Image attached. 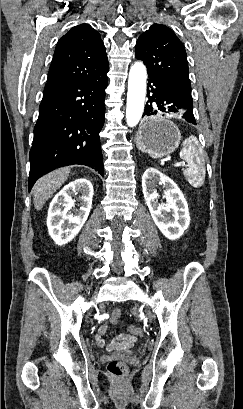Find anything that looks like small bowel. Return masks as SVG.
Instances as JSON below:
<instances>
[{"mask_svg":"<svg viewBox=\"0 0 243 409\" xmlns=\"http://www.w3.org/2000/svg\"><path fill=\"white\" fill-rule=\"evenodd\" d=\"M106 331H107V324L101 325L95 335V340L99 347H103V348L105 347L108 351L129 349L134 345L137 339L136 334L134 333L121 334L117 336L114 340H112L110 343L106 344L105 339H104V335Z\"/></svg>","mask_w":243,"mask_h":409,"instance_id":"c3829d8e","label":"small bowel"}]
</instances>
